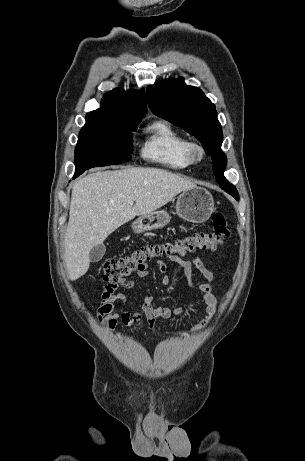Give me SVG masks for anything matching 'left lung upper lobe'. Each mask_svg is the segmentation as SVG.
<instances>
[{
	"instance_id": "obj_1",
	"label": "left lung upper lobe",
	"mask_w": 305,
	"mask_h": 461,
	"mask_svg": "<svg viewBox=\"0 0 305 461\" xmlns=\"http://www.w3.org/2000/svg\"><path fill=\"white\" fill-rule=\"evenodd\" d=\"M146 98L155 115L183 127L202 143L212 157L213 172L220 187L239 200L236 188L224 177L227 159L221 151L223 134L215 105L199 88L185 85L181 77L149 86Z\"/></svg>"
}]
</instances>
